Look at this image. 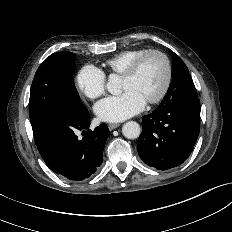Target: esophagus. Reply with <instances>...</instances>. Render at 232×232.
<instances>
[{
	"label": "esophagus",
	"mask_w": 232,
	"mask_h": 232,
	"mask_svg": "<svg viewBox=\"0 0 232 232\" xmlns=\"http://www.w3.org/2000/svg\"><path fill=\"white\" fill-rule=\"evenodd\" d=\"M119 126H120V124H118V123H110L108 125V128H109V130H114V129H116Z\"/></svg>",
	"instance_id": "obj_1"
}]
</instances>
